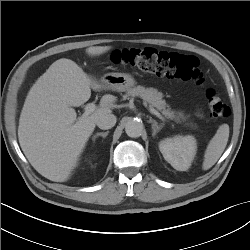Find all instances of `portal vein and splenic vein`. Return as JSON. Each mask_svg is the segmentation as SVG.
I'll use <instances>...</instances> for the list:
<instances>
[{"label":"portal vein and splenic vein","instance_id":"obj_1","mask_svg":"<svg viewBox=\"0 0 250 250\" xmlns=\"http://www.w3.org/2000/svg\"><path fill=\"white\" fill-rule=\"evenodd\" d=\"M96 110V105L94 103H88L86 104L85 108H84V115L88 116L91 113H93ZM149 110L152 114L156 115L158 118L163 120V117L161 116V114L154 109L152 106L149 107Z\"/></svg>","mask_w":250,"mask_h":250}]
</instances>
